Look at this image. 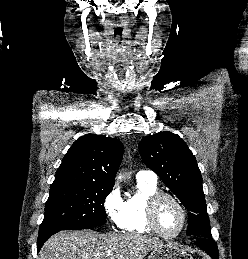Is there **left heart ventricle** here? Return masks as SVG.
<instances>
[{
	"label": "left heart ventricle",
	"mask_w": 248,
	"mask_h": 259,
	"mask_svg": "<svg viewBox=\"0 0 248 259\" xmlns=\"http://www.w3.org/2000/svg\"><path fill=\"white\" fill-rule=\"evenodd\" d=\"M157 220L163 232L174 234L181 227L182 214L172 200L163 199L157 209Z\"/></svg>",
	"instance_id": "1"
}]
</instances>
